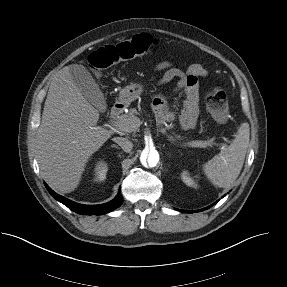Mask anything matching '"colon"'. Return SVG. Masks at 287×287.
Wrapping results in <instances>:
<instances>
[{
	"mask_svg": "<svg viewBox=\"0 0 287 287\" xmlns=\"http://www.w3.org/2000/svg\"><path fill=\"white\" fill-rule=\"evenodd\" d=\"M155 44V39L149 34L141 33L126 41L97 49L90 55L89 64L95 71H102L113 64L146 54ZM207 108L216 121L223 123L228 119L227 95L220 87L208 92Z\"/></svg>",
	"mask_w": 287,
	"mask_h": 287,
	"instance_id": "1",
	"label": "colon"
}]
</instances>
